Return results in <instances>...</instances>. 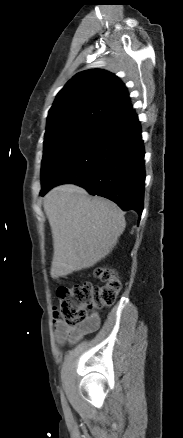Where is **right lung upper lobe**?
I'll return each instance as SVG.
<instances>
[{
	"label": "right lung upper lobe",
	"mask_w": 183,
	"mask_h": 438,
	"mask_svg": "<svg viewBox=\"0 0 183 438\" xmlns=\"http://www.w3.org/2000/svg\"><path fill=\"white\" fill-rule=\"evenodd\" d=\"M131 109L126 87L118 77L105 70H86L57 94L45 134L82 125L98 128Z\"/></svg>",
	"instance_id": "cb5924a9"
}]
</instances>
